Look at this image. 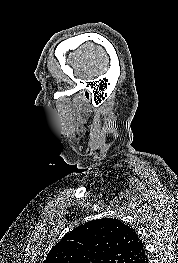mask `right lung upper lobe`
Segmentation results:
<instances>
[{
    "label": "right lung upper lobe",
    "instance_id": "1",
    "mask_svg": "<svg viewBox=\"0 0 178 263\" xmlns=\"http://www.w3.org/2000/svg\"><path fill=\"white\" fill-rule=\"evenodd\" d=\"M134 229L114 218L74 228L52 247L43 263H147Z\"/></svg>",
    "mask_w": 178,
    "mask_h": 263
}]
</instances>
